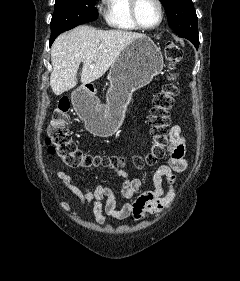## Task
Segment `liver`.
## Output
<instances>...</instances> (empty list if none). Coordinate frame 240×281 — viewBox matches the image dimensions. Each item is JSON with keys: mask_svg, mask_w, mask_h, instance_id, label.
<instances>
[{"mask_svg": "<svg viewBox=\"0 0 240 281\" xmlns=\"http://www.w3.org/2000/svg\"><path fill=\"white\" fill-rule=\"evenodd\" d=\"M142 36L141 33L98 30L87 25L62 33L51 47L53 70L50 86L53 92L61 95L77 85V71L81 62L80 80L83 85L99 79L115 63L120 53Z\"/></svg>", "mask_w": 240, "mask_h": 281, "instance_id": "6515ba94", "label": "liver"}]
</instances>
